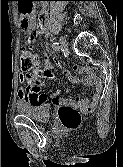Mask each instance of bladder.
Masks as SVG:
<instances>
[{
	"mask_svg": "<svg viewBox=\"0 0 123 167\" xmlns=\"http://www.w3.org/2000/svg\"><path fill=\"white\" fill-rule=\"evenodd\" d=\"M17 109L20 114L29 117L38 122L48 121L51 117L52 105L48 102L29 103L19 101Z\"/></svg>",
	"mask_w": 123,
	"mask_h": 167,
	"instance_id": "bladder-1",
	"label": "bladder"
}]
</instances>
